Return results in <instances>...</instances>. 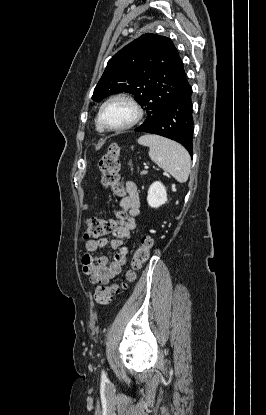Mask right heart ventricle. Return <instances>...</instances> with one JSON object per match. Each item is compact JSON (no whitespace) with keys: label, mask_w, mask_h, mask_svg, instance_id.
Listing matches in <instances>:
<instances>
[{"label":"right heart ventricle","mask_w":266,"mask_h":415,"mask_svg":"<svg viewBox=\"0 0 266 415\" xmlns=\"http://www.w3.org/2000/svg\"><path fill=\"white\" fill-rule=\"evenodd\" d=\"M96 129H97L99 132H102V131H103V128L99 125L98 121L96 122Z\"/></svg>","instance_id":"right-heart-ventricle-1"}]
</instances>
